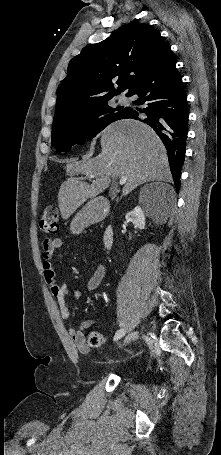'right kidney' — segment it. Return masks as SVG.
<instances>
[{
    "mask_svg": "<svg viewBox=\"0 0 221 455\" xmlns=\"http://www.w3.org/2000/svg\"><path fill=\"white\" fill-rule=\"evenodd\" d=\"M125 218L133 222L139 229L142 230L145 228V216L140 206H136L132 211L128 212Z\"/></svg>",
    "mask_w": 221,
    "mask_h": 455,
    "instance_id": "obj_1",
    "label": "right kidney"
}]
</instances>
